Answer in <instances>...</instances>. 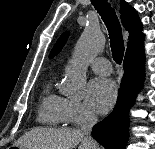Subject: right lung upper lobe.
Returning a JSON list of instances; mask_svg holds the SVG:
<instances>
[{
  "instance_id": "obj_1",
  "label": "right lung upper lobe",
  "mask_w": 155,
  "mask_h": 149,
  "mask_svg": "<svg viewBox=\"0 0 155 149\" xmlns=\"http://www.w3.org/2000/svg\"><path fill=\"white\" fill-rule=\"evenodd\" d=\"M121 22L129 32L125 58L137 59L144 56V34L138 14L125 0H121Z\"/></svg>"
}]
</instances>
